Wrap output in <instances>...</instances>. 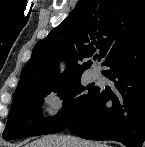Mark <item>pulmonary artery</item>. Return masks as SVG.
Masks as SVG:
<instances>
[{
    "mask_svg": "<svg viewBox=\"0 0 145 147\" xmlns=\"http://www.w3.org/2000/svg\"><path fill=\"white\" fill-rule=\"evenodd\" d=\"M99 75H100V72H99L98 69H93V70H92V76H93V77H97V76H99Z\"/></svg>",
    "mask_w": 145,
    "mask_h": 147,
    "instance_id": "1",
    "label": "pulmonary artery"
}]
</instances>
